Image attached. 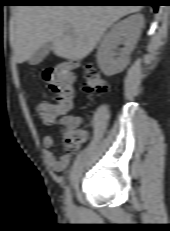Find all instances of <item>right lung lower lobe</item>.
Segmentation results:
<instances>
[{
	"instance_id": "98d812e1",
	"label": "right lung lower lobe",
	"mask_w": 170,
	"mask_h": 231,
	"mask_svg": "<svg viewBox=\"0 0 170 231\" xmlns=\"http://www.w3.org/2000/svg\"><path fill=\"white\" fill-rule=\"evenodd\" d=\"M160 0H30V5H150L157 12Z\"/></svg>"
}]
</instances>
